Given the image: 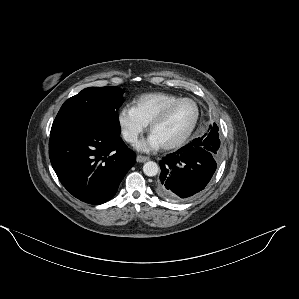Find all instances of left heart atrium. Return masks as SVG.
<instances>
[{
  "instance_id": "obj_1",
  "label": "left heart atrium",
  "mask_w": 299,
  "mask_h": 299,
  "mask_svg": "<svg viewBox=\"0 0 299 299\" xmlns=\"http://www.w3.org/2000/svg\"><path fill=\"white\" fill-rule=\"evenodd\" d=\"M161 145L157 141V139L151 134L146 140H143L137 145V148L143 151H151L156 150Z\"/></svg>"
}]
</instances>
